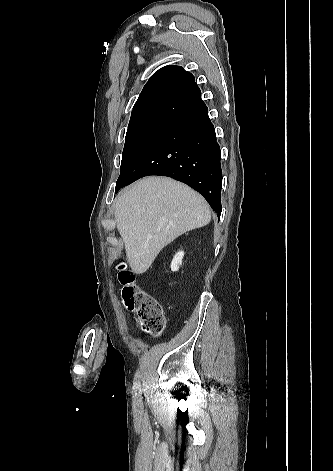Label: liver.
Instances as JSON below:
<instances>
[{
    "label": "liver",
    "instance_id": "liver-1",
    "mask_svg": "<svg viewBox=\"0 0 333 471\" xmlns=\"http://www.w3.org/2000/svg\"><path fill=\"white\" fill-rule=\"evenodd\" d=\"M117 229L132 270L145 273L160 251L178 236L211 220L205 199L167 177H146L115 200Z\"/></svg>",
    "mask_w": 333,
    "mask_h": 471
}]
</instances>
